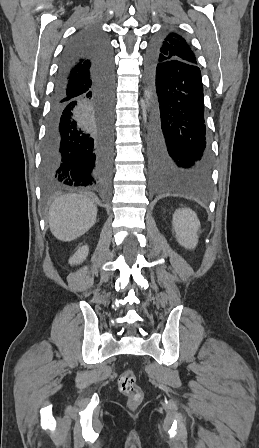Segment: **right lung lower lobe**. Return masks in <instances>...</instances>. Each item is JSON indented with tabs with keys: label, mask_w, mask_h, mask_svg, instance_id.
Returning <instances> with one entry per match:
<instances>
[{
	"label": "right lung lower lobe",
	"mask_w": 259,
	"mask_h": 448,
	"mask_svg": "<svg viewBox=\"0 0 259 448\" xmlns=\"http://www.w3.org/2000/svg\"><path fill=\"white\" fill-rule=\"evenodd\" d=\"M79 63L90 68L87 88L70 89ZM114 70L109 39L97 28L80 30L65 46L55 80L41 176L46 185L87 187L108 183L113 160Z\"/></svg>",
	"instance_id": "98d812e1"
}]
</instances>
